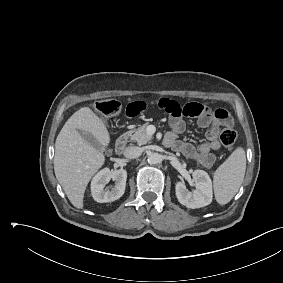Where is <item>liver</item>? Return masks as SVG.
<instances>
[{
    "mask_svg": "<svg viewBox=\"0 0 283 283\" xmlns=\"http://www.w3.org/2000/svg\"><path fill=\"white\" fill-rule=\"evenodd\" d=\"M80 132L91 134L102 146L110 142L104 121L89 107L76 111L64 124L55 142L54 172L72 205L83 208L86 187L103 166L105 156Z\"/></svg>",
    "mask_w": 283,
    "mask_h": 283,
    "instance_id": "liver-1",
    "label": "liver"
}]
</instances>
